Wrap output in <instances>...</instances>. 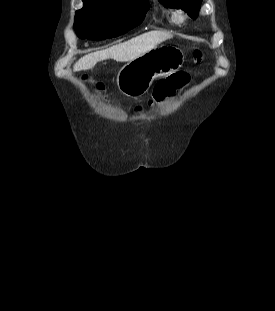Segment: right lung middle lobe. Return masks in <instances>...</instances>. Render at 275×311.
<instances>
[{
    "label": "right lung middle lobe",
    "instance_id": "obj_1",
    "mask_svg": "<svg viewBox=\"0 0 275 311\" xmlns=\"http://www.w3.org/2000/svg\"><path fill=\"white\" fill-rule=\"evenodd\" d=\"M148 9L147 0L90 2L76 12L74 28L81 39L119 36L139 25Z\"/></svg>",
    "mask_w": 275,
    "mask_h": 311
}]
</instances>
